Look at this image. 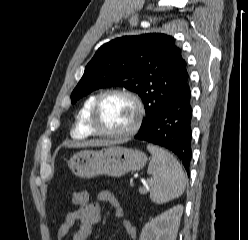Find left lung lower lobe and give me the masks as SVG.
Returning <instances> with one entry per match:
<instances>
[{
    "mask_svg": "<svg viewBox=\"0 0 248 240\" xmlns=\"http://www.w3.org/2000/svg\"><path fill=\"white\" fill-rule=\"evenodd\" d=\"M192 112L191 91L188 87L171 98L152 121L135 135V139L171 150L189 173L192 158Z\"/></svg>",
    "mask_w": 248,
    "mask_h": 240,
    "instance_id": "left-lung-lower-lobe-1",
    "label": "left lung lower lobe"
}]
</instances>
